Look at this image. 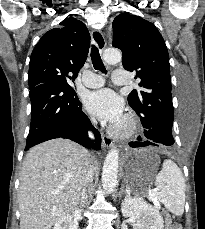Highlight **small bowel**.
I'll use <instances>...</instances> for the list:
<instances>
[{"mask_svg":"<svg viewBox=\"0 0 205 229\" xmlns=\"http://www.w3.org/2000/svg\"><path fill=\"white\" fill-rule=\"evenodd\" d=\"M172 229H178L177 227H173Z\"/></svg>","mask_w":205,"mask_h":229,"instance_id":"obj_1","label":"small bowel"}]
</instances>
